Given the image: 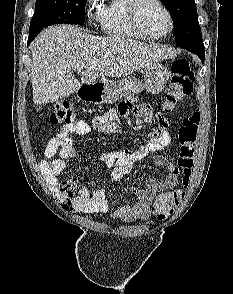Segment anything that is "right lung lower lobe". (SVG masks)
Instances as JSON below:
<instances>
[{
  "instance_id": "right-lung-lower-lobe-1",
  "label": "right lung lower lobe",
  "mask_w": 233,
  "mask_h": 294,
  "mask_svg": "<svg viewBox=\"0 0 233 294\" xmlns=\"http://www.w3.org/2000/svg\"><path fill=\"white\" fill-rule=\"evenodd\" d=\"M35 37H29L28 38V45L30 44V42L34 39Z\"/></svg>"
}]
</instances>
